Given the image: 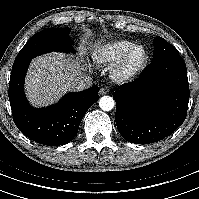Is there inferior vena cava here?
I'll list each match as a JSON object with an SVG mask.
<instances>
[{
  "mask_svg": "<svg viewBox=\"0 0 199 199\" xmlns=\"http://www.w3.org/2000/svg\"><path fill=\"white\" fill-rule=\"evenodd\" d=\"M93 79L88 75H80L73 82L72 87L75 91H82L92 85Z\"/></svg>",
  "mask_w": 199,
  "mask_h": 199,
  "instance_id": "inferior-vena-cava-1",
  "label": "inferior vena cava"
}]
</instances>
